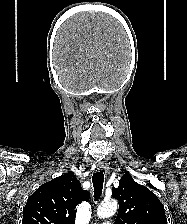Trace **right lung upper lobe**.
<instances>
[{
	"instance_id": "1",
	"label": "right lung upper lobe",
	"mask_w": 187,
	"mask_h": 224,
	"mask_svg": "<svg viewBox=\"0 0 187 224\" xmlns=\"http://www.w3.org/2000/svg\"><path fill=\"white\" fill-rule=\"evenodd\" d=\"M88 198L74 173H65L42 184L28 198L22 224H74L76 206Z\"/></svg>"
}]
</instances>
